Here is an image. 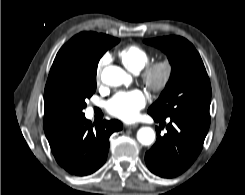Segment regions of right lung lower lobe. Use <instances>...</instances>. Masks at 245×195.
Here are the masks:
<instances>
[{
  "mask_svg": "<svg viewBox=\"0 0 245 195\" xmlns=\"http://www.w3.org/2000/svg\"><path fill=\"white\" fill-rule=\"evenodd\" d=\"M121 129L122 123L118 120H104L94 126L84 116L49 140V144L57 163L67 172L77 176L89 175L104 164L109 137Z\"/></svg>",
  "mask_w": 245,
  "mask_h": 195,
  "instance_id": "obj_1",
  "label": "right lung lower lobe"
}]
</instances>
